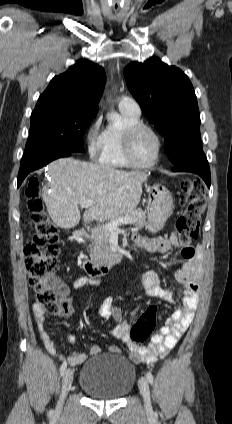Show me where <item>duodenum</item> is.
I'll use <instances>...</instances> for the list:
<instances>
[{
  "mask_svg": "<svg viewBox=\"0 0 232 424\" xmlns=\"http://www.w3.org/2000/svg\"><path fill=\"white\" fill-rule=\"evenodd\" d=\"M88 234L85 230H77L75 232V239L77 241H84ZM123 255L120 251L110 253L108 257L94 259L86 256L83 259L82 267L84 271L91 276H102L106 274L115 264L122 261Z\"/></svg>",
  "mask_w": 232,
  "mask_h": 424,
  "instance_id": "1",
  "label": "duodenum"
}]
</instances>
